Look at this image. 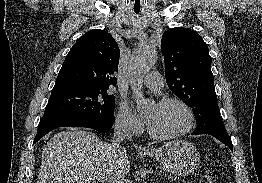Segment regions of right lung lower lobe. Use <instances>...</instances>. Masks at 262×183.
I'll return each instance as SVG.
<instances>
[{
  "instance_id": "1",
  "label": "right lung lower lobe",
  "mask_w": 262,
  "mask_h": 183,
  "mask_svg": "<svg viewBox=\"0 0 262 183\" xmlns=\"http://www.w3.org/2000/svg\"><path fill=\"white\" fill-rule=\"evenodd\" d=\"M114 117H105V118H88V117H79V116H51L42 118L37 135L35 137L34 143L37 142L40 138L46 135L51 130L62 127H87L97 130L100 133H105L109 131L114 123Z\"/></svg>"
}]
</instances>
